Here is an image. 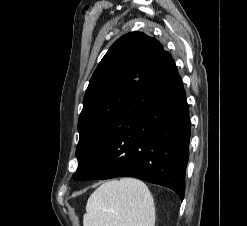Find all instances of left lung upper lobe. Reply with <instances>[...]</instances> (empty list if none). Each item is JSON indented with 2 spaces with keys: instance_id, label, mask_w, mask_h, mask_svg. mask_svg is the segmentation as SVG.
Here are the masks:
<instances>
[{
  "instance_id": "1",
  "label": "left lung upper lobe",
  "mask_w": 247,
  "mask_h": 226,
  "mask_svg": "<svg viewBox=\"0 0 247 226\" xmlns=\"http://www.w3.org/2000/svg\"><path fill=\"white\" fill-rule=\"evenodd\" d=\"M163 50L155 38L131 32L119 38L102 58L87 87L79 116L78 168L74 179L80 180L87 158L121 115Z\"/></svg>"
}]
</instances>
